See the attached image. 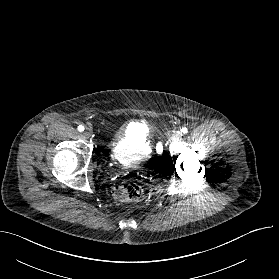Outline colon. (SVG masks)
Returning a JSON list of instances; mask_svg holds the SVG:
<instances>
[{
  "mask_svg": "<svg viewBox=\"0 0 279 279\" xmlns=\"http://www.w3.org/2000/svg\"><path fill=\"white\" fill-rule=\"evenodd\" d=\"M143 191V187L138 183L124 182L114 188L113 194L120 202H134L142 197Z\"/></svg>",
  "mask_w": 279,
  "mask_h": 279,
  "instance_id": "1",
  "label": "colon"
}]
</instances>
